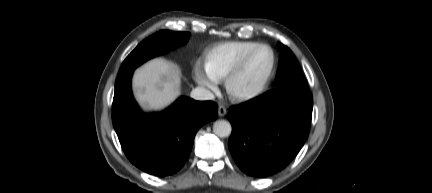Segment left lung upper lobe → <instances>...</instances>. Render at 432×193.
Listing matches in <instances>:
<instances>
[{"mask_svg": "<svg viewBox=\"0 0 432 193\" xmlns=\"http://www.w3.org/2000/svg\"><path fill=\"white\" fill-rule=\"evenodd\" d=\"M279 67L275 78L276 89L308 90L307 82L292 51L278 42Z\"/></svg>", "mask_w": 432, "mask_h": 193, "instance_id": "left-lung-upper-lobe-1", "label": "left lung upper lobe"}]
</instances>
